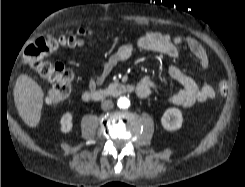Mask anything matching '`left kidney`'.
<instances>
[{
	"instance_id": "left-kidney-1",
	"label": "left kidney",
	"mask_w": 245,
	"mask_h": 187,
	"mask_svg": "<svg viewBox=\"0 0 245 187\" xmlns=\"http://www.w3.org/2000/svg\"><path fill=\"white\" fill-rule=\"evenodd\" d=\"M183 116L178 108H168L161 117V124L168 131H176L181 128Z\"/></svg>"
}]
</instances>
